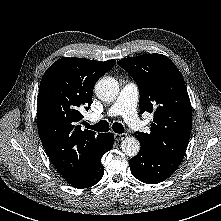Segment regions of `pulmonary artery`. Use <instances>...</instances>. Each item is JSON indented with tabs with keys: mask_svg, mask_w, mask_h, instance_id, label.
Here are the masks:
<instances>
[{
	"mask_svg": "<svg viewBox=\"0 0 221 221\" xmlns=\"http://www.w3.org/2000/svg\"><path fill=\"white\" fill-rule=\"evenodd\" d=\"M139 98V91L134 83L126 84L118 98L109 106L104 114H94L90 116L91 121H99L104 116L113 117L121 115L124 121L134 129L139 128L140 121L136 107Z\"/></svg>",
	"mask_w": 221,
	"mask_h": 221,
	"instance_id": "pulmonary-artery-1",
	"label": "pulmonary artery"
}]
</instances>
